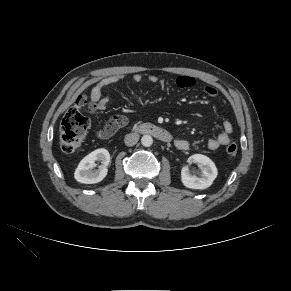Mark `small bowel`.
Masks as SVG:
<instances>
[{
    "instance_id": "small-bowel-1",
    "label": "small bowel",
    "mask_w": 291,
    "mask_h": 291,
    "mask_svg": "<svg viewBox=\"0 0 291 291\" xmlns=\"http://www.w3.org/2000/svg\"><path fill=\"white\" fill-rule=\"evenodd\" d=\"M124 77L125 76L122 74L111 75V76L102 78L94 85L90 94L89 109L91 112L103 111L106 109L109 103V96L103 93V89L105 87L119 83L121 80H123ZM131 79L134 82H139L142 80V76L139 73H134L131 75ZM147 79L151 83L158 82V78L154 75L148 76ZM176 83L180 88L188 89L195 85V80L189 76H179L176 79ZM204 92L210 97H214L217 95V90L211 86L205 87ZM116 117H121L124 119V123L122 126H124L127 123V118L125 116H116ZM222 127H223V131L217 137L208 140L207 146L209 149L216 150L219 147L226 145L229 142L231 138L230 134L232 132V125L229 121H225ZM112 134L113 133L110 132L108 125L104 126L98 132V136L100 138H107ZM175 146L179 150H187L190 147V142L184 139H177L175 141Z\"/></svg>"
}]
</instances>
